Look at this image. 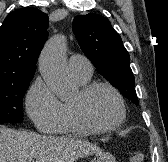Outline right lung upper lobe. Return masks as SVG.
Wrapping results in <instances>:
<instances>
[{"label": "right lung upper lobe", "mask_w": 168, "mask_h": 162, "mask_svg": "<svg viewBox=\"0 0 168 162\" xmlns=\"http://www.w3.org/2000/svg\"><path fill=\"white\" fill-rule=\"evenodd\" d=\"M48 16L36 8L7 15L0 27V82L34 75L40 51L47 40Z\"/></svg>", "instance_id": "1"}]
</instances>
